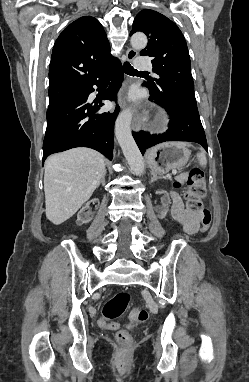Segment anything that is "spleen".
<instances>
[{
	"label": "spleen",
	"instance_id": "spleen-1",
	"mask_svg": "<svg viewBox=\"0 0 249 382\" xmlns=\"http://www.w3.org/2000/svg\"><path fill=\"white\" fill-rule=\"evenodd\" d=\"M197 159L199 161V164L202 166V167H205L206 164H207V160H206V156H205V153L201 150V152H199L197 154Z\"/></svg>",
	"mask_w": 249,
	"mask_h": 382
}]
</instances>
